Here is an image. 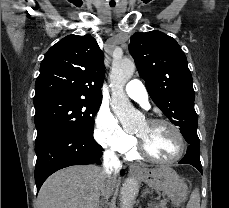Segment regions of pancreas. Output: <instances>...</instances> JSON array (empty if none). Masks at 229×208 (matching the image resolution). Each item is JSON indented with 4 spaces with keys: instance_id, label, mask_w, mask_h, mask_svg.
I'll list each match as a JSON object with an SVG mask.
<instances>
[{
    "instance_id": "1",
    "label": "pancreas",
    "mask_w": 229,
    "mask_h": 208,
    "mask_svg": "<svg viewBox=\"0 0 229 208\" xmlns=\"http://www.w3.org/2000/svg\"><path fill=\"white\" fill-rule=\"evenodd\" d=\"M166 204H167V200H161V202H159V204H155L153 208H165Z\"/></svg>"
}]
</instances>
